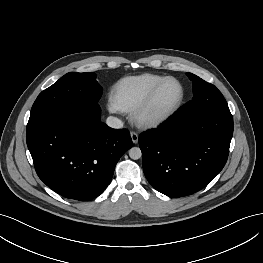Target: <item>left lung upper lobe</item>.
Listing matches in <instances>:
<instances>
[{"label": "left lung upper lobe", "mask_w": 263, "mask_h": 263, "mask_svg": "<svg viewBox=\"0 0 263 263\" xmlns=\"http://www.w3.org/2000/svg\"><path fill=\"white\" fill-rule=\"evenodd\" d=\"M187 76L193 82L194 97L178 111L184 122L208 114L230 112L226 100L216 86L192 73H187Z\"/></svg>", "instance_id": "left-lung-upper-lobe-1"}]
</instances>
